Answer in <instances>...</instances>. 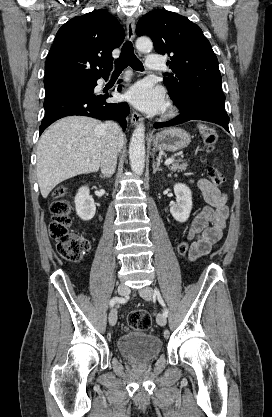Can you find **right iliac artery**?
<instances>
[{"label":"right iliac artery","instance_id":"1","mask_svg":"<svg viewBox=\"0 0 272 417\" xmlns=\"http://www.w3.org/2000/svg\"><path fill=\"white\" fill-rule=\"evenodd\" d=\"M127 300H128L127 297H125V298L113 297L110 300V303L109 304H110V307H113L117 302H119V303H125Z\"/></svg>","mask_w":272,"mask_h":417}]
</instances>
